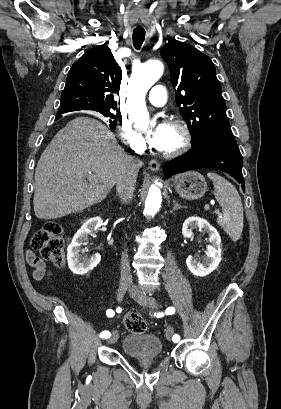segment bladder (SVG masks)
<instances>
[{"label": "bladder", "mask_w": 281, "mask_h": 409, "mask_svg": "<svg viewBox=\"0 0 281 409\" xmlns=\"http://www.w3.org/2000/svg\"><path fill=\"white\" fill-rule=\"evenodd\" d=\"M120 349L127 357L137 359V355H164L162 338L153 333H129L120 340Z\"/></svg>", "instance_id": "obj_1"}]
</instances>
